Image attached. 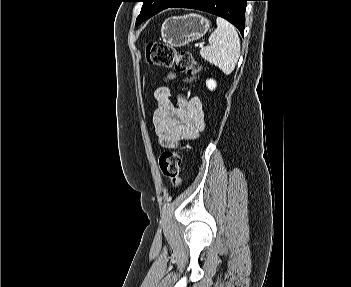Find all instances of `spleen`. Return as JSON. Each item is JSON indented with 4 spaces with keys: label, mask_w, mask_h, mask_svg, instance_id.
<instances>
[{
    "label": "spleen",
    "mask_w": 351,
    "mask_h": 287,
    "mask_svg": "<svg viewBox=\"0 0 351 287\" xmlns=\"http://www.w3.org/2000/svg\"><path fill=\"white\" fill-rule=\"evenodd\" d=\"M216 23L217 28L209 37L210 46L202 48L200 55L228 75L239 59L240 39L235 27L228 21L217 17Z\"/></svg>",
    "instance_id": "3e777b00"
}]
</instances>
